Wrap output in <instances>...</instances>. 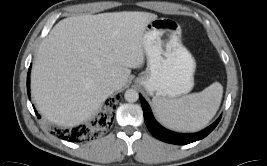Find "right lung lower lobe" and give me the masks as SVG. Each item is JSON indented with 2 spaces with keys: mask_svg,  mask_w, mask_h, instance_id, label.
I'll use <instances>...</instances> for the list:
<instances>
[{
  "mask_svg": "<svg viewBox=\"0 0 267 166\" xmlns=\"http://www.w3.org/2000/svg\"><path fill=\"white\" fill-rule=\"evenodd\" d=\"M30 69L28 71L27 75V92L30 96ZM107 107L104 109L103 113H101L97 118H95L93 121L89 122L86 125H81L78 127H75L73 129H66V130H60V129H54L53 132L56 134L59 138L63 140H67L69 142H82L86 139L93 138L97 132L110 125V121L113 119V109H115V105L113 104V99L106 101ZM36 112V111H35ZM37 114V113H36ZM38 118L40 116L37 114Z\"/></svg>",
  "mask_w": 267,
  "mask_h": 166,
  "instance_id": "1",
  "label": "right lung lower lobe"
}]
</instances>
